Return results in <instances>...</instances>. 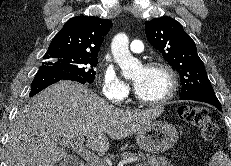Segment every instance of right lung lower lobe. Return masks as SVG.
Instances as JSON below:
<instances>
[{"instance_id":"right-lung-lower-lobe-1","label":"right lung lower lobe","mask_w":231,"mask_h":166,"mask_svg":"<svg viewBox=\"0 0 231 166\" xmlns=\"http://www.w3.org/2000/svg\"><path fill=\"white\" fill-rule=\"evenodd\" d=\"M60 80H72L82 84L88 83L79 75L68 73L52 66L43 65L40 66L34 80L32 81L29 97L34 96L49 85L54 84Z\"/></svg>"}]
</instances>
